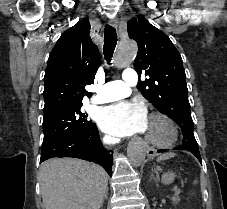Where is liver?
Returning <instances> with one entry per match:
<instances>
[{
	"label": "liver",
	"mask_w": 227,
	"mask_h": 209,
	"mask_svg": "<svg viewBox=\"0 0 227 209\" xmlns=\"http://www.w3.org/2000/svg\"><path fill=\"white\" fill-rule=\"evenodd\" d=\"M45 209H100L108 175L99 165L80 159H49L39 169Z\"/></svg>",
	"instance_id": "obj_1"
}]
</instances>
